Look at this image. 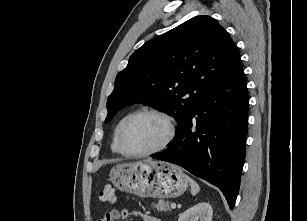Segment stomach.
I'll use <instances>...</instances> for the list:
<instances>
[{
	"mask_svg": "<svg viewBox=\"0 0 307 221\" xmlns=\"http://www.w3.org/2000/svg\"><path fill=\"white\" fill-rule=\"evenodd\" d=\"M110 180L121 191L154 198L178 197L189 184L178 166L153 160L118 164L111 169Z\"/></svg>",
	"mask_w": 307,
	"mask_h": 221,
	"instance_id": "0dacf381",
	"label": "stomach"
}]
</instances>
